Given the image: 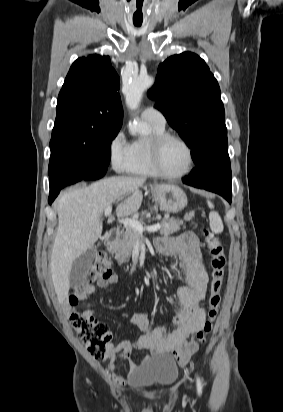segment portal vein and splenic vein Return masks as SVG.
I'll use <instances>...</instances> for the list:
<instances>
[{
    "instance_id": "portal-vein-and-splenic-vein-1",
    "label": "portal vein and splenic vein",
    "mask_w": 283,
    "mask_h": 412,
    "mask_svg": "<svg viewBox=\"0 0 283 412\" xmlns=\"http://www.w3.org/2000/svg\"><path fill=\"white\" fill-rule=\"evenodd\" d=\"M111 211H112V207L111 206L107 207L104 211L105 217L109 216L111 214ZM118 222L122 223L125 226H129L133 228L139 233H142L145 230L148 232H156L161 229L160 224H155L152 226L144 227L139 221H137L136 219H131V218H122V219H119Z\"/></svg>"
}]
</instances>
